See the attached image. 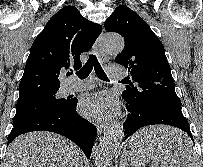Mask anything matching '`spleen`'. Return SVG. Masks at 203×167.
<instances>
[{
    "label": "spleen",
    "instance_id": "1",
    "mask_svg": "<svg viewBox=\"0 0 203 167\" xmlns=\"http://www.w3.org/2000/svg\"><path fill=\"white\" fill-rule=\"evenodd\" d=\"M186 141L187 138L179 137V143ZM141 142H144L141 140ZM140 142L136 143L139 144ZM135 144V146H136ZM154 149H157V153H154ZM196 157L192 149L182 150L181 148L177 150L175 157L171 160H167L163 154V149L161 145L157 147L136 149L132 152V167H142L149 161H151V167H196Z\"/></svg>",
    "mask_w": 203,
    "mask_h": 167
}]
</instances>
